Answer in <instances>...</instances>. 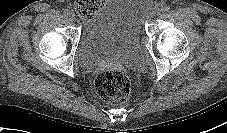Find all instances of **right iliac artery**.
<instances>
[{
    "label": "right iliac artery",
    "instance_id": "obj_1",
    "mask_svg": "<svg viewBox=\"0 0 227 133\" xmlns=\"http://www.w3.org/2000/svg\"><path fill=\"white\" fill-rule=\"evenodd\" d=\"M63 13H64L65 16H69V15H70V10L65 9V10L63 11Z\"/></svg>",
    "mask_w": 227,
    "mask_h": 133
}]
</instances>
